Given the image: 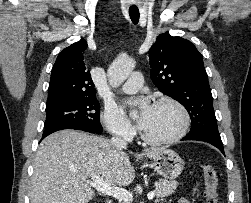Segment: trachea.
<instances>
[{
	"label": "trachea",
	"instance_id": "1",
	"mask_svg": "<svg viewBox=\"0 0 251 203\" xmlns=\"http://www.w3.org/2000/svg\"><path fill=\"white\" fill-rule=\"evenodd\" d=\"M129 16L134 24H137L139 21V11L138 10H129Z\"/></svg>",
	"mask_w": 251,
	"mask_h": 203
}]
</instances>
